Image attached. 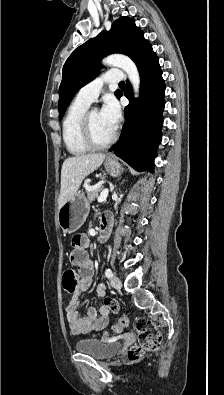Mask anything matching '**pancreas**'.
<instances>
[{"label": "pancreas", "instance_id": "obj_1", "mask_svg": "<svg viewBox=\"0 0 224 395\" xmlns=\"http://www.w3.org/2000/svg\"><path fill=\"white\" fill-rule=\"evenodd\" d=\"M102 186L100 187H96V188H92V189H88L87 190V199L89 203H92L93 201H95L96 198L99 197V193L102 190Z\"/></svg>", "mask_w": 224, "mask_h": 395}]
</instances>
